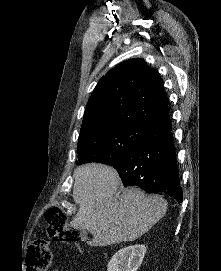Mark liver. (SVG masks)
I'll use <instances>...</instances> for the list:
<instances>
[{
  "label": "liver",
  "instance_id": "1",
  "mask_svg": "<svg viewBox=\"0 0 221 271\" xmlns=\"http://www.w3.org/2000/svg\"><path fill=\"white\" fill-rule=\"evenodd\" d=\"M73 175L72 197L78 211L70 225L92 233L89 245L134 241L167 211V201L162 195H146L137 185L114 197L120 179L109 165L84 163L76 167Z\"/></svg>",
  "mask_w": 221,
  "mask_h": 271
}]
</instances>
